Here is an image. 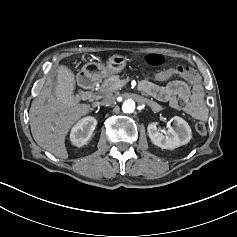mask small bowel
Returning a JSON list of instances; mask_svg holds the SVG:
<instances>
[{"label":"small bowel","mask_w":237,"mask_h":237,"mask_svg":"<svg viewBox=\"0 0 237 237\" xmlns=\"http://www.w3.org/2000/svg\"><path fill=\"white\" fill-rule=\"evenodd\" d=\"M174 74V70L169 69L157 73L155 78L158 81H166ZM140 89L158 100L168 101L172 108L182 110L195 119L207 120L209 117L204 88L200 77L196 74L186 82L174 81L165 86L143 81L140 84Z\"/></svg>","instance_id":"obj_1"}]
</instances>
